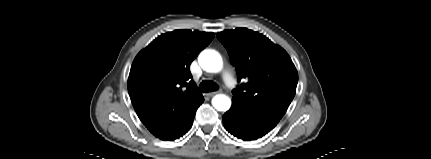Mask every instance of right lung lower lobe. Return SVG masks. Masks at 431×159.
Instances as JSON below:
<instances>
[{"label": "right lung lower lobe", "instance_id": "right-lung-lower-lobe-1", "mask_svg": "<svg viewBox=\"0 0 431 159\" xmlns=\"http://www.w3.org/2000/svg\"><path fill=\"white\" fill-rule=\"evenodd\" d=\"M204 98H200L185 114L181 121L164 137L160 138L162 140L172 141L183 136L191 128L194 120L195 113L198 107L203 103Z\"/></svg>", "mask_w": 431, "mask_h": 159}]
</instances>
